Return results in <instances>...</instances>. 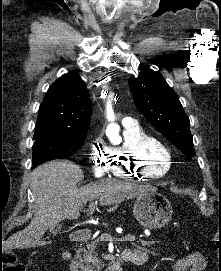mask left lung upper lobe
I'll return each mask as SVG.
<instances>
[{"instance_id": "obj_1", "label": "left lung upper lobe", "mask_w": 221, "mask_h": 271, "mask_svg": "<svg viewBox=\"0 0 221 271\" xmlns=\"http://www.w3.org/2000/svg\"><path fill=\"white\" fill-rule=\"evenodd\" d=\"M135 105L145 118L184 154L194 156L190 121L175 91L160 72L149 68L128 80Z\"/></svg>"}]
</instances>
